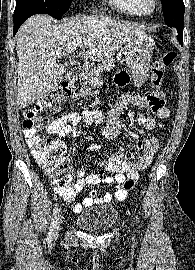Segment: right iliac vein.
<instances>
[{"instance_id": "right-iliac-vein-1", "label": "right iliac vein", "mask_w": 195, "mask_h": 270, "mask_svg": "<svg viewBox=\"0 0 195 270\" xmlns=\"http://www.w3.org/2000/svg\"><path fill=\"white\" fill-rule=\"evenodd\" d=\"M60 223H61V216L58 215V217L55 220V226H54V232H53L54 236L58 235V231H59V228H60Z\"/></svg>"}]
</instances>
